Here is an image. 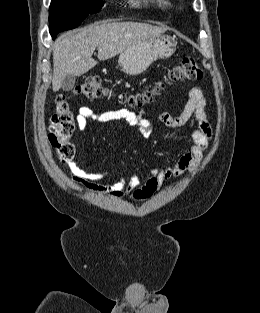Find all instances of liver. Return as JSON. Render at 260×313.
<instances>
[{"mask_svg": "<svg viewBox=\"0 0 260 313\" xmlns=\"http://www.w3.org/2000/svg\"><path fill=\"white\" fill-rule=\"evenodd\" d=\"M167 30L147 23L102 22L58 37L53 50L52 89L57 92L65 76H81L97 65L92 58L98 49V59L104 61L129 47L158 36Z\"/></svg>", "mask_w": 260, "mask_h": 313, "instance_id": "6515ba94", "label": "liver"}]
</instances>
